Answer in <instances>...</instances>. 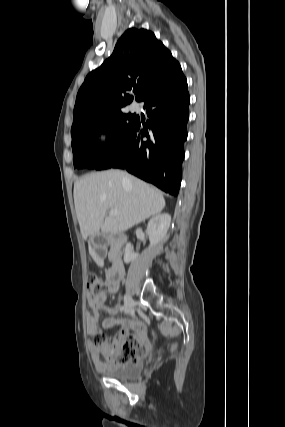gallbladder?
Wrapping results in <instances>:
<instances>
[{
    "label": "gallbladder",
    "instance_id": "obj_1",
    "mask_svg": "<svg viewBox=\"0 0 285 427\" xmlns=\"http://www.w3.org/2000/svg\"><path fill=\"white\" fill-rule=\"evenodd\" d=\"M98 240H99V236H96V235H95V236L93 237V240H92V245H94L95 243L99 242Z\"/></svg>",
    "mask_w": 285,
    "mask_h": 427
}]
</instances>
